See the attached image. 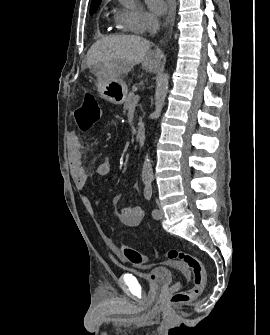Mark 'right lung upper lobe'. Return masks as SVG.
Listing matches in <instances>:
<instances>
[{
	"instance_id": "cb5924a9",
	"label": "right lung upper lobe",
	"mask_w": 270,
	"mask_h": 335,
	"mask_svg": "<svg viewBox=\"0 0 270 335\" xmlns=\"http://www.w3.org/2000/svg\"><path fill=\"white\" fill-rule=\"evenodd\" d=\"M100 1H101V0H92V4H91V5H93V4H98V3H100Z\"/></svg>"
}]
</instances>
